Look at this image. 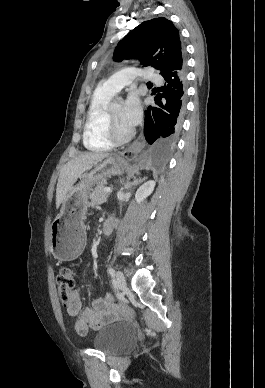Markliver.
Returning a JSON list of instances; mask_svg holds the SVG:
<instances>
[{
	"mask_svg": "<svg viewBox=\"0 0 265 388\" xmlns=\"http://www.w3.org/2000/svg\"><path fill=\"white\" fill-rule=\"evenodd\" d=\"M110 154H103V152H85L81 156H77L74 160L67 162L63 166L60 176L58 178L57 190H56V208L58 210L60 204L67 198L68 192L72 190L73 184L80 178L81 174L90 170L92 166L109 158Z\"/></svg>",
	"mask_w": 265,
	"mask_h": 388,
	"instance_id": "obj_1",
	"label": "liver"
}]
</instances>
